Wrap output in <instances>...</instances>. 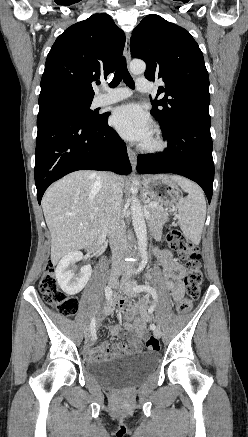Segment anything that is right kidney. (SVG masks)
<instances>
[{"label": "right kidney", "instance_id": "right-kidney-1", "mask_svg": "<svg viewBox=\"0 0 248 437\" xmlns=\"http://www.w3.org/2000/svg\"><path fill=\"white\" fill-rule=\"evenodd\" d=\"M83 258L79 251H73L65 255L58 263L55 270L56 279L60 288L68 295L78 294L87 284L92 268L86 265L75 274L74 264Z\"/></svg>", "mask_w": 248, "mask_h": 437}]
</instances>
